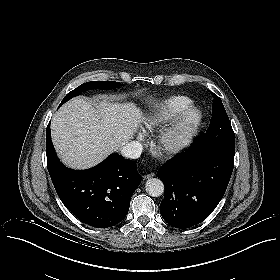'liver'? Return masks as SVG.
Instances as JSON below:
<instances>
[{"label":"liver","instance_id":"1","mask_svg":"<svg viewBox=\"0 0 280 280\" xmlns=\"http://www.w3.org/2000/svg\"><path fill=\"white\" fill-rule=\"evenodd\" d=\"M142 113L133 103H100L77 97L54 114L51 136L62 162L73 169H88L132 138Z\"/></svg>","mask_w":280,"mask_h":280}]
</instances>
